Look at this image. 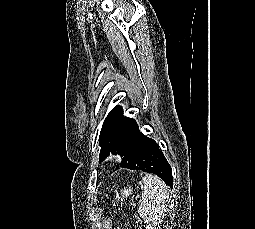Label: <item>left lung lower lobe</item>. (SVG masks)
<instances>
[{"label": "left lung lower lobe", "mask_w": 255, "mask_h": 229, "mask_svg": "<svg viewBox=\"0 0 255 229\" xmlns=\"http://www.w3.org/2000/svg\"><path fill=\"white\" fill-rule=\"evenodd\" d=\"M109 123L114 131L122 133L129 140L121 155L120 166L156 174L172 189V169L157 143L139 131L135 120L124 117L121 107L112 113Z\"/></svg>", "instance_id": "0a47b994"}]
</instances>
